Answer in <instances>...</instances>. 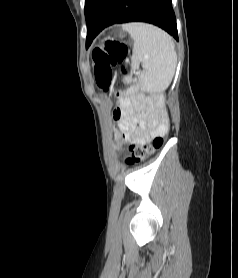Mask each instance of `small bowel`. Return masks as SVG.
I'll return each instance as SVG.
<instances>
[{
	"instance_id": "obj_1",
	"label": "small bowel",
	"mask_w": 238,
	"mask_h": 278,
	"mask_svg": "<svg viewBox=\"0 0 238 278\" xmlns=\"http://www.w3.org/2000/svg\"><path fill=\"white\" fill-rule=\"evenodd\" d=\"M160 117L154 100L139 87L122 95L120 108L115 112L122 139L132 144H143L159 135L163 130Z\"/></svg>"
}]
</instances>
